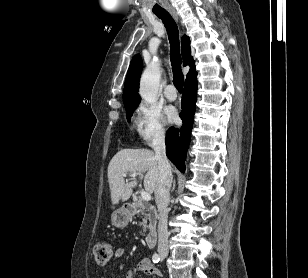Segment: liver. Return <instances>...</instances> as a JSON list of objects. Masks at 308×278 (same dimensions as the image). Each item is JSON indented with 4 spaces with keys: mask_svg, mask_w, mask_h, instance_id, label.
<instances>
[{
    "mask_svg": "<svg viewBox=\"0 0 308 278\" xmlns=\"http://www.w3.org/2000/svg\"><path fill=\"white\" fill-rule=\"evenodd\" d=\"M146 172L144 188L149 193L155 191L159 179V165L156 155L148 149L125 148L117 152L108 165V182L112 204L126 201L137 186L135 178L124 179L123 174L137 173L140 177Z\"/></svg>",
    "mask_w": 308,
    "mask_h": 278,
    "instance_id": "6515ba94",
    "label": "liver"
}]
</instances>
